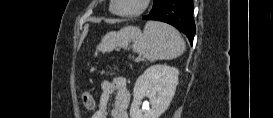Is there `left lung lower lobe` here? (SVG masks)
<instances>
[{"label":"left lung lower lobe","instance_id":"0a47b994","mask_svg":"<svg viewBox=\"0 0 273 118\" xmlns=\"http://www.w3.org/2000/svg\"><path fill=\"white\" fill-rule=\"evenodd\" d=\"M193 10V0H162L144 19L158 20L176 27L192 44L195 35Z\"/></svg>","mask_w":273,"mask_h":118}]
</instances>
